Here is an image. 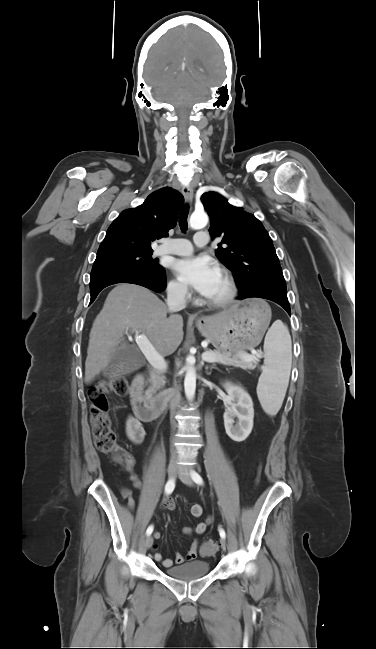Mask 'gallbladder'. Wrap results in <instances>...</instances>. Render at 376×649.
Masks as SVG:
<instances>
[{"label": "gallbladder", "mask_w": 376, "mask_h": 649, "mask_svg": "<svg viewBox=\"0 0 376 649\" xmlns=\"http://www.w3.org/2000/svg\"><path fill=\"white\" fill-rule=\"evenodd\" d=\"M137 354L127 348L118 347L112 353L109 365L103 370L106 378L115 377L133 370L136 366Z\"/></svg>", "instance_id": "bac80fb5"}]
</instances>
